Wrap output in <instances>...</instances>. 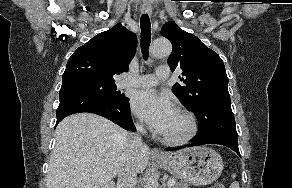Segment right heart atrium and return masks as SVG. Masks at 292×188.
Segmentation results:
<instances>
[{
    "instance_id": "d8ad5b80",
    "label": "right heart atrium",
    "mask_w": 292,
    "mask_h": 188,
    "mask_svg": "<svg viewBox=\"0 0 292 188\" xmlns=\"http://www.w3.org/2000/svg\"><path fill=\"white\" fill-rule=\"evenodd\" d=\"M137 126H138V127H141V124L138 123Z\"/></svg>"
}]
</instances>
